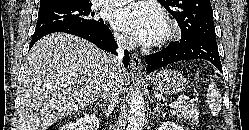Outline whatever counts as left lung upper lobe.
Instances as JSON below:
<instances>
[{
	"instance_id": "1",
	"label": "left lung upper lobe",
	"mask_w": 249,
	"mask_h": 130,
	"mask_svg": "<svg viewBox=\"0 0 249 130\" xmlns=\"http://www.w3.org/2000/svg\"><path fill=\"white\" fill-rule=\"evenodd\" d=\"M176 19L181 41L202 37L216 40L210 0H158Z\"/></svg>"
}]
</instances>
